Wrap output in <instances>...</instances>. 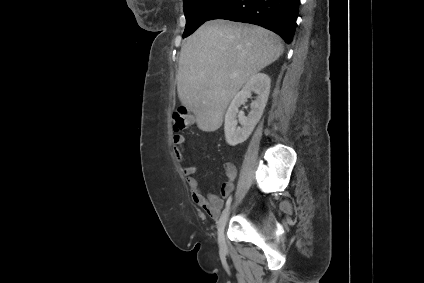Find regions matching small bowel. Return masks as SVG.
Listing matches in <instances>:
<instances>
[{
	"label": "small bowel",
	"mask_w": 424,
	"mask_h": 283,
	"mask_svg": "<svg viewBox=\"0 0 424 283\" xmlns=\"http://www.w3.org/2000/svg\"><path fill=\"white\" fill-rule=\"evenodd\" d=\"M185 138L183 135L176 134L173 136L174 143V154L176 158L184 162L183 144ZM224 169L228 181L224 182L221 187V195L214 194L212 192L204 193L197 179L195 178L196 169L190 164H186L182 167V171L187 178V182L190 188L191 196L194 203L200 206L211 218L217 219L220 215L223 207L224 199L227 198L233 190V181L235 180L238 169L235 164L231 162L224 163Z\"/></svg>",
	"instance_id": "1"
}]
</instances>
